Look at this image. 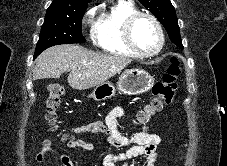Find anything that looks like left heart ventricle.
Returning <instances> with one entry per match:
<instances>
[{
  "mask_svg": "<svg viewBox=\"0 0 227 166\" xmlns=\"http://www.w3.org/2000/svg\"><path fill=\"white\" fill-rule=\"evenodd\" d=\"M133 37L136 45L145 52L153 51L159 41L158 32L153 22L145 17L140 18L135 23Z\"/></svg>",
  "mask_w": 227,
  "mask_h": 166,
  "instance_id": "obj_1",
  "label": "left heart ventricle"
}]
</instances>
